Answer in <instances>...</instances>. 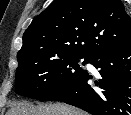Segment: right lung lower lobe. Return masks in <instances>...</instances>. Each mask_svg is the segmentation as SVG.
Segmentation results:
<instances>
[{"instance_id": "1", "label": "right lung lower lobe", "mask_w": 131, "mask_h": 115, "mask_svg": "<svg viewBox=\"0 0 131 115\" xmlns=\"http://www.w3.org/2000/svg\"><path fill=\"white\" fill-rule=\"evenodd\" d=\"M87 63L99 69L101 79L87 71L55 100L79 107L93 115H131V45L98 52Z\"/></svg>"}]
</instances>
